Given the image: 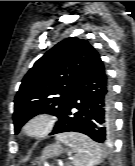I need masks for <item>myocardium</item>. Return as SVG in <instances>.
Returning a JSON list of instances; mask_svg holds the SVG:
<instances>
[{"mask_svg":"<svg viewBox=\"0 0 135 166\" xmlns=\"http://www.w3.org/2000/svg\"><path fill=\"white\" fill-rule=\"evenodd\" d=\"M55 119L48 113H39L30 117L21 128V135L27 139H39L47 136L54 128Z\"/></svg>","mask_w":135,"mask_h":166,"instance_id":"myocardium-1","label":"myocardium"}]
</instances>
